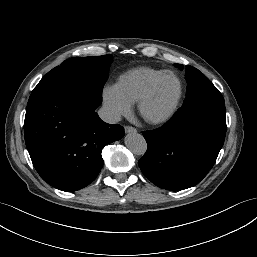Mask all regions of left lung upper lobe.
<instances>
[{
    "label": "left lung upper lobe",
    "mask_w": 257,
    "mask_h": 257,
    "mask_svg": "<svg viewBox=\"0 0 257 257\" xmlns=\"http://www.w3.org/2000/svg\"><path fill=\"white\" fill-rule=\"evenodd\" d=\"M174 66L183 69L181 64ZM186 80L188 83L186 98L181 108H191L212 100H223L218 89L196 68L186 66Z\"/></svg>",
    "instance_id": "obj_1"
}]
</instances>
